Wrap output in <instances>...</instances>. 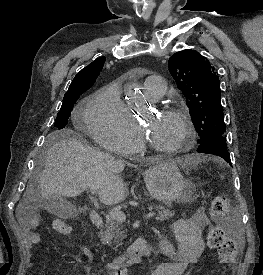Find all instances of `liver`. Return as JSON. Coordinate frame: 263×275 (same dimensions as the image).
Masks as SVG:
<instances>
[{
    "label": "liver",
    "mask_w": 263,
    "mask_h": 275,
    "mask_svg": "<svg viewBox=\"0 0 263 275\" xmlns=\"http://www.w3.org/2000/svg\"><path fill=\"white\" fill-rule=\"evenodd\" d=\"M50 139L52 145L39 175L38 195L28 186L17 208L19 221L21 211L38 208L40 200L49 196L76 197L87 189H94L104 204L114 205L125 200L128 189L118 175L124 169L123 161L95 150L69 129L55 132ZM176 162L195 161L192 156H185Z\"/></svg>",
    "instance_id": "1"
}]
</instances>
